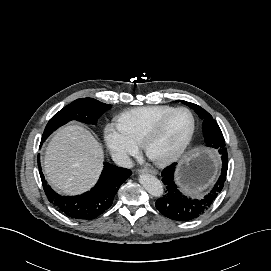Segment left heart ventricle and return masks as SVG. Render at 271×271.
Returning a JSON list of instances; mask_svg holds the SVG:
<instances>
[{"label":"left heart ventricle","mask_w":271,"mask_h":271,"mask_svg":"<svg viewBox=\"0 0 271 271\" xmlns=\"http://www.w3.org/2000/svg\"><path fill=\"white\" fill-rule=\"evenodd\" d=\"M192 127L190 115L185 111L175 113L150 146L155 156L166 155L179 148L187 139Z\"/></svg>","instance_id":"1"}]
</instances>
